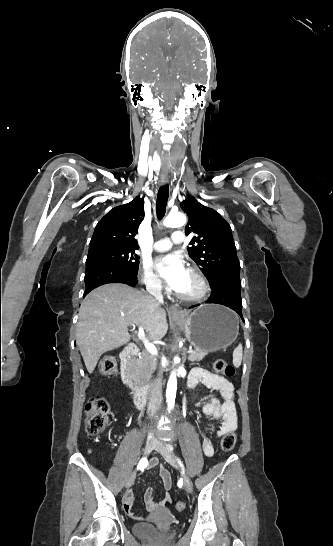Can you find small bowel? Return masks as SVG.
<instances>
[{"instance_id": "1", "label": "small bowel", "mask_w": 333, "mask_h": 546, "mask_svg": "<svg viewBox=\"0 0 333 546\" xmlns=\"http://www.w3.org/2000/svg\"><path fill=\"white\" fill-rule=\"evenodd\" d=\"M202 384L209 389L216 390L222 396L223 401L220 402L216 398L209 399L202 408L205 415L212 417L216 421L220 422V427H210L208 433L203 440L202 449L207 457H211L214 454V447L212 439L219 438L225 435L227 432L234 431L238 425V416L234 406V387L232 383L225 377L213 374L202 368H195L191 371L188 378L189 387H194L197 384ZM157 460L154 459L151 462V467L157 465ZM166 496L160 501L156 502L153 498L152 488H148L145 492V503L147 509L151 512H157L160 509L167 506L170 502L169 491L172 487V480L170 472L166 468H162L159 472ZM134 504V494L132 491L126 492L123 499L124 511L132 516V506Z\"/></svg>"}]
</instances>
